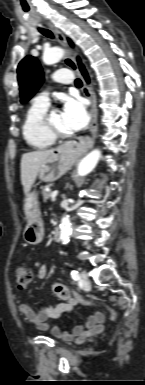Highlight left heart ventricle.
<instances>
[{"mask_svg": "<svg viewBox=\"0 0 145 385\" xmlns=\"http://www.w3.org/2000/svg\"><path fill=\"white\" fill-rule=\"evenodd\" d=\"M51 124L59 132L66 133V134L71 133V131L66 127V125L64 123L62 113L59 111H55L51 115Z\"/></svg>", "mask_w": 145, "mask_h": 385, "instance_id": "obj_1", "label": "left heart ventricle"}]
</instances>
